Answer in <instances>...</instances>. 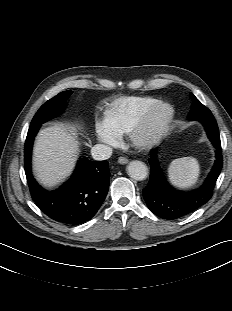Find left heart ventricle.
I'll return each instance as SVG.
<instances>
[{
	"label": "left heart ventricle",
	"mask_w": 232,
	"mask_h": 311,
	"mask_svg": "<svg viewBox=\"0 0 232 311\" xmlns=\"http://www.w3.org/2000/svg\"><path fill=\"white\" fill-rule=\"evenodd\" d=\"M161 114L162 113H159L158 115H156L152 120H151V126H154L156 123H157V121L159 120V118L161 117Z\"/></svg>",
	"instance_id": "1"
}]
</instances>
